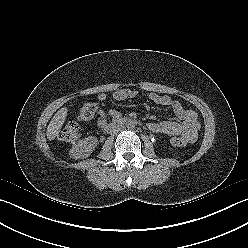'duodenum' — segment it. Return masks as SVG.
<instances>
[{
  "label": "duodenum",
  "instance_id": "duodenum-1",
  "mask_svg": "<svg viewBox=\"0 0 248 248\" xmlns=\"http://www.w3.org/2000/svg\"><path fill=\"white\" fill-rule=\"evenodd\" d=\"M125 121V119H117L113 124L108 125L107 127L109 129L113 128L115 126L116 123H123Z\"/></svg>",
  "mask_w": 248,
  "mask_h": 248
}]
</instances>
